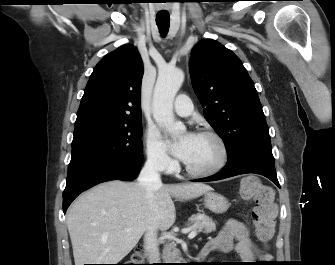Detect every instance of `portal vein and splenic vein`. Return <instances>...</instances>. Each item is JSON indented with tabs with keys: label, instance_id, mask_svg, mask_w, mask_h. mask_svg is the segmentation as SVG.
I'll use <instances>...</instances> for the list:
<instances>
[{
	"label": "portal vein and splenic vein",
	"instance_id": "18ae733b",
	"mask_svg": "<svg viewBox=\"0 0 335 265\" xmlns=\"http://www.w3.org/2000/svg\"><path fill=\"white\" fill-rule=\"evenodd\" d=\"M129 230H130V229H127V231H129ZM197 234H198V232H197L196 230H192V231L189 233L188 238H189V239H192V238H194ZM165 236L168 237V238H170V239L173 238V235L170 234V233H166Z\"/></svg>",
	"mask_w": 335,
	"mask_h": 265
}]
</instances>
